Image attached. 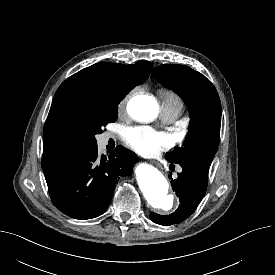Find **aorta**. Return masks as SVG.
Segmentation results:
<instances>
[{
    "label": "aorta",
    "instance_id": "1",
    "mask_svg": "<svg viewBox=\"0 0 275 275\" xmlns=\"http://www.w3.org/2000/svg\"><path fill=\"white\" fill-rule=\"evenodd\" d=\"M127 110L133 119L139 122H150L158 115L159 106L154 97L140 94L129 101ZM135 173L148 204L155 209L170 210L174 197L168 193L169 184L163 174L149 164L138 165Z\"/></svg>",
    "mask_w": 275,
    "mask_h": 275
}]
</instances>
